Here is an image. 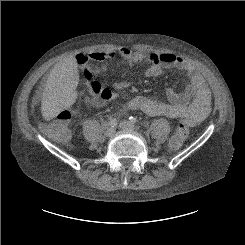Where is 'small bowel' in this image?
Wrapping results in <instances>:
<instances>
[{
    "label": "small bowel",
    "instance_id": "1",
    "mask_svg": "<svg viewBox=\"0 0 245 245\" xmlns=\"http://www.w3.org/2000/svg\"><path fill=\"white\" fill-rule=\"evenodd\" d=\"M90 58L99 63L119 58L123 64L128 66L146 62L148 66L144 71V76L147 78L158 77L166 69H177L184 72L190 79V85L182 93L172 89L166 92L169 103L146 96H134L128 103V108L132 110H139L150 116L165 115L189 124L204 120L209 113L211 96L204 78L191 64L177 55L157 52L146 53L121 47L111 51L94 50L90 53ZM74 68V64H64L61 71L66 73ZM134 86L135 83L131 81L115 83L109 90L110 95L108 96L104 92L97 93L93 88H90L92 105L95 107L103 106L109 100L120 96L124 91Z\"/></svg>",
    "mask_w": 245,
    "mask_h": 245
}]
</instances>
